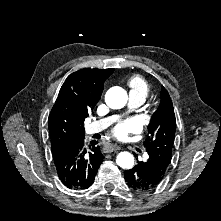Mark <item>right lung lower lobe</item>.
<instances>
[{"instance_id":"1","label":"right lung lower lobe","mask_w":221,"mask_h":221,"mask_svg":"<svg viewBox=\"0 0 221 221\" xmlns=\"http://www.w3.org/2000/svg\"><path fill=\"white\" fill-rule=\"evenodd\" d=\"M58 177L70 189L89 188L104 156L97 141L85 145L84 136L52 153Z\"/></svg>"}]
</instances>
